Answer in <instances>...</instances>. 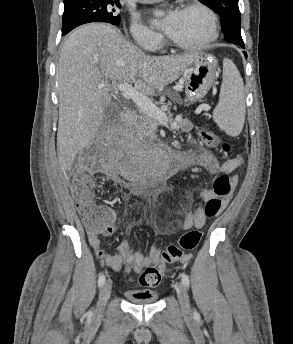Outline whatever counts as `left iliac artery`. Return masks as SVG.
Listing matches in <instances>:
<instances>
[{
  "mask_svg": "<svg viewBox=\"0 0 293 344\" xmlns=\"http://www.w3.org/2000/svg\"><path fill=\"white\" fill-rule=\"evenodd\" d=\"M180 277H181V280H182V283L185 287H189V277L187 274L185 273H181L180 274ZM194 316H198V313L196 311H194Z\"/></svg>",
  "mask_w": 293,
  "mask_h": 344,
  "instance_id": "1",
  "label": "left iliac artery"
}]
</instances>
